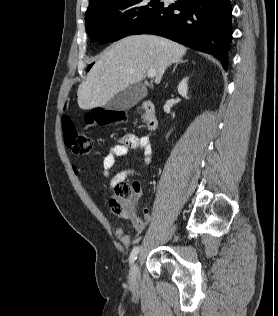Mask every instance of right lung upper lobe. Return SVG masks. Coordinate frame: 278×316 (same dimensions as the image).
<instances>
[{"label":"right lung upper lobe","mask_w":278,"mask_h":316,"mask_svg":"<svg viewBox=\"0 0 278 316\" xmlns=\"http://www.w3.org/2000/svg\"><path fill=\"white\" fill-rule=\"evenodd\" d=\"M107 1H110V0H89V7L87 8V11L90 10L91 8L98 6L100 4H103Z\"/></svg>","instance_id":"right-lung-upper-lobe-1"}]
</instances>
